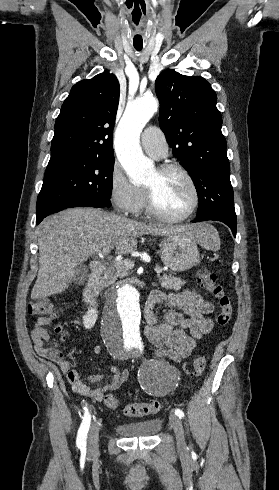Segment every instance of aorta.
<instances>
[{
  "label": "aorta",
  "instance_id": "762f6f07",
  "mask_svg": "<svg viewBox=\"0 0 279 490\" xmlns=\"http://www.w3.org/2000/svg\"><path fill=\"white\" fill-rule=\"evenodd\" d=\"M158 109L153 96L129 103L115 132L117 158L133 183L146 181L153 163L140 147V135ZM103 337L114 353H127L141 344L140 295L132 285L125 284L107 298L102 319Z\"/></svg>",
  "mask_w": 279,
  "mask_h": 490
}]
</instances>
